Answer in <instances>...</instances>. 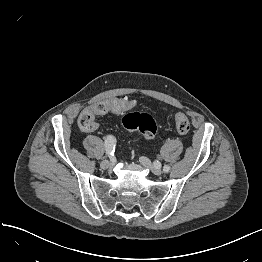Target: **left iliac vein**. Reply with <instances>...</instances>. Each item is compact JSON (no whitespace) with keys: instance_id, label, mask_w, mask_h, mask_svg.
Masks as SVG:
<instances>
[{"instance_id":"left-iliac-vein-1","label":"left iliac vein","mask_w":262,"mask_h":262,"mask_svg":"<svg viewBox=\"0 0 262 262\" xmlns=\"http://www.w3.org/2000/svg\"><path fill=\"white\" fill-rule=\"evenodd\" d=\"M140 163L147 169L151 170L155 175H160L162 170L159 166L153 165L146 157L140 158Z\"/></svg>"}]
</instances>
